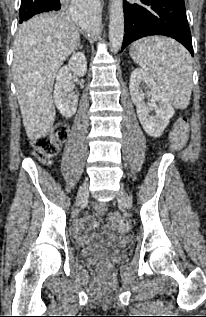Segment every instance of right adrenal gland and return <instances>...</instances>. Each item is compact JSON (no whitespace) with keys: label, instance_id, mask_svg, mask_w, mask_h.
Returning <instances> with one entry per match:
<instances>
[{"label":"right adrenal gland","instance_id":"1","mask_svg":"<svg viewBox=\"0 0 206 317\" xmlns=\"http://www.w3.org/2000/svg\"><path fill=\"white\" fill-rule=\"evenodd\" d=\"M78 48H79V49H82V48H83V46H82L81 44H79V45H78Z\"/></svg>","mask_w":206,"mask_h":317}]
</instances>
